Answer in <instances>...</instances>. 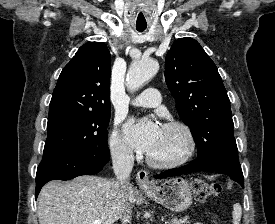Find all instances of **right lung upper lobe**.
Listing matches in <instances>:
<instances>
[{
	"mask_svg": "<svg viewBox=\"0 0 275 224\" xmlns=\"http://www.w3.org/2000/svg\"><path fill=\"white\" fill-rule=\"evenodd\" d=\"M110 68L111 56L104 43L82 45L59 76L49 115L65 111H111Z\"/></svg>",
	"mask_w": 275,
	"mask_h": 224,
	"instance_id": "1",
	"label": "right lung upper lobe"
}]
</instances>
